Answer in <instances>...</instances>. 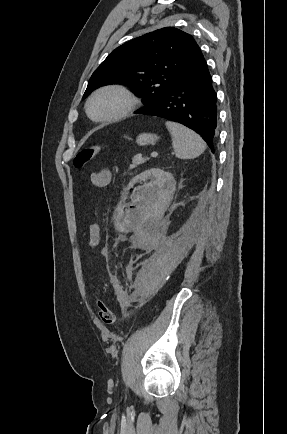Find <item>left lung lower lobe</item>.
Listing matches in <instances>:
<instances>
[{
  "label": "left lung lower lobe",
  "instance_id": "1",
  "mask_svg": "<svg viewBox=\"0 0 287 434\" xmlns=\"http://www.w3.org/2000/svg\"><path fill=\"white\" fill-rule=\"evenodd\" d=\"M216 100L207 63L201 57L174 80L155 104L136 113L181 123L201 135L214 151L217 137Z\"/></svg>",
  "mask_w": 287,
  "mask_h": 434
}]
</instances>
